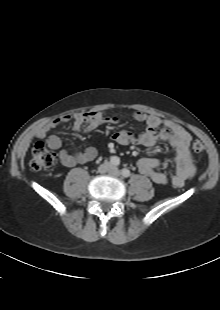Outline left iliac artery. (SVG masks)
<instances>
[{
    "label": "left iliac artery",
    "mask_w": 220,
    "mask_h": 310,
    "mask_svg": "<svg viewBox=\"0 0 220 310\" xmlns=\"http://www.w3.org/2000/svg\"><path fill=\"white\" fill-rule=\"evenodd\" d=\"M121 174H122L123 177H126V178L131 175L130 171L128 169H126V168L121 170Z\"/></svg>",
    "instance_id": "left-iliac-artery-1"
}]
</instances>
